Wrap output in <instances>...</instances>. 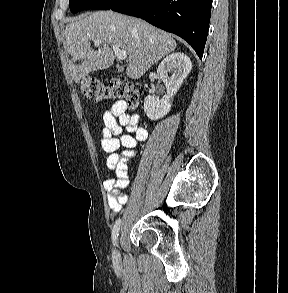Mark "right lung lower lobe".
I'll return each instance as SVG.
<instances>
[{
    "mask_svg": "<svg viewBox=\"0 0 288 293\" xmlns=\"http://www.w3.org/2000/svg\"><path fill=\"white\" fill-rule=\"evenodd\" d=\"M212 0H123L110 9L146 20L187 41L202 58Z\"/></svg>",
    "mask_w": 288,
    "mask_h": 293,
    "instance_id": "1",
    "label": "right lung lower lobe"
}]
</instances>
